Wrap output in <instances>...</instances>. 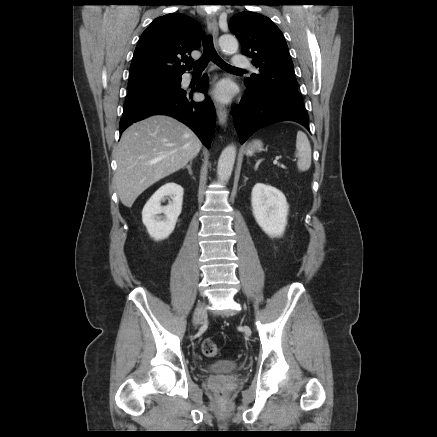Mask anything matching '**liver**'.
<instances>
[{
  "label": "liver",
  "mask_w": 437,
  "mask_h": 437,
  "mask_svg": "<svg viewBox=\"0 0 437 437\" xmlns=\"http://www.w3.org/2000/svg\"><path fill=\"white\" fill-rule=\"evenodd\" d=\"M201 146L190 128L169 116L155 115L131 125L116 149L114 178L122 204L131 208L147 188L195 158Z\"/></svg>",
  "instance_id": "1"
}]
</instances>
